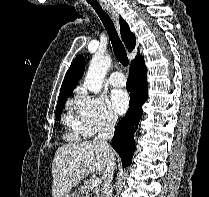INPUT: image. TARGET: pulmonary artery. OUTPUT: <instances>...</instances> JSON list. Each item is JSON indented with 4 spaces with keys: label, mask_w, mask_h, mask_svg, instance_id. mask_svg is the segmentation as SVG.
Segmentation results:
<instances>
[{
    "label": "pulmonary artery",
    "mask_w": 209,
    "mask_h": 197,
    "mask_svg": "<svg viewBox=\"0 0 209 197\" xmlns=\"http://www.w3.org/2000/svg\"><path fill=\"white\" fill-rule=\"evenodd\" d=\"M110 85L114 87H122L126 84V78L120 71H115L111 73L109 77Z\"/></svg>",
    "instance_id": "1"
}]
</instances>
